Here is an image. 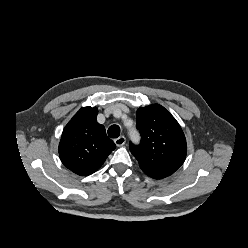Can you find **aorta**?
Listing matches in <instances>:
<instances>
[{
  "label": "aorta",
  "mask_w": 248,
  "mask_h": 248,
  "mask_svg": "<svg viewBox=\"0 0 248 248\" xmlns=\"http://www.w3.org/2000/svg\"><path fill=\"white\" fill-rule=\"evenodd\" d=\"M131 140L137 142L139 140V134L136 130H132L129 133Z\"/></svg>",
  "instance_id": "1"
}]
</instances>
